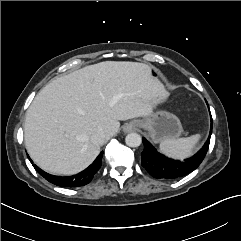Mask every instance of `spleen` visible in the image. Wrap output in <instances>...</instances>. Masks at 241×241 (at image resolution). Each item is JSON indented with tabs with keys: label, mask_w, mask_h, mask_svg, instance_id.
<instances>
[{
	"label": "spleen",
	"mask_w": 241,
	"mask_h": 241,
	"mask_svg": "<svg viewBox=\"0 0 241 241\" xmlns=\"http://www.w3.org/2000/svg\"><path fill=\"white\" fill-rule=\"evenodd\" d=\"M199 139V134L186 138L167 139L160 143V151L168 157L183 160L191 156Z\"/></svg>",
	"instance_id": "1"
}]
</instances>
